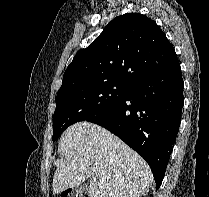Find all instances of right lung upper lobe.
<instances>
[{
    "label": "right lung upper lobe",
    "instance_id": "cb5924a9",
    "mask_svg": "<svg viewBox=\"0 0 209 197\" xmlns=\"http://www.w3.org/2000/svg\"><path fill=\"white\" fill-rule=\"evenodd\" d=\"M176 58L156 22L140 13H126L114 18L87 48L77 52L64 73L61 88L106 80L134 86Z\"/></svg>",
    "mask_w": 209,
    "mask_h": 197
}]
</instances>
